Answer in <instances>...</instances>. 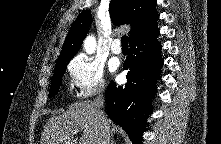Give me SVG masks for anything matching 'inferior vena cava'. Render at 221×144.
<instances>
[{
  "label": "inferior vena cava",
  "instance_id": "602c4592",
  "mask_svg": "<svg viewBox=\"0 0 221 144\" xmlns=\"http://www.w3.org/2000/svg\"><path fill=\"white\" fill-rule=\"evenodd\" d=\"M104 86L98 90V96L94 99L92 106L95 109L96 117L100 125V138L98 144H110V132L107 120L101 110L104 107Z\"/></svg>",
  "mask_w": 221,
  "mask_h": 144
}]
</instances>
